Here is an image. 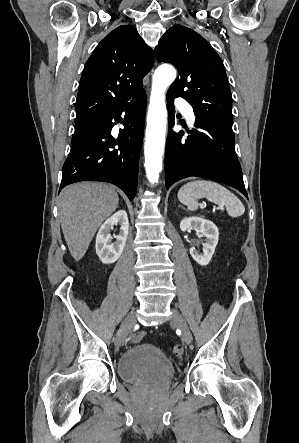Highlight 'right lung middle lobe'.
I'll return each mask as SVG.
<instances>
[{"label": "right lung middle lobe", "instance_id": "obj_1", "mask_svg": "<svg viewBox=\"0 0 299 443\" xmlns=\"http://www.w3.org/2000/svg\"><path fill=\"white\" fill-rule=\"evenodd\" d=\"M97 126V118L76 123L72 143L75 144L76 142L83 139L90 131H92Z\"/></svg>", "mask_w": 299, "mask_h": 443}]
</instances>
